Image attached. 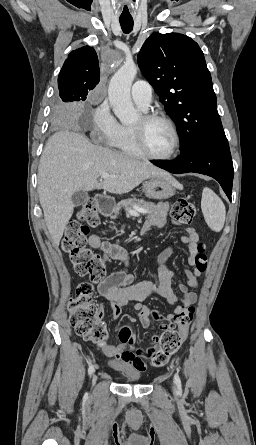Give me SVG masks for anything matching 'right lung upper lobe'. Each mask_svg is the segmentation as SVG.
Here are the masks:
<instances>
[{"label":"right lung upper lobe","instance_id":"cb5924a9","mask_svg":"<svg viewBox=\"0 0 256 445\" xmlns=\"http://www.w3.org/2000/svg\"><path fill=\"white\" fill-rule=\"evenodd\" d=\"M98 57L94 48L84 46L72 51L65 60L58 77L60 92H68L85 100L100 80Z\"/></svg>","mask_w":256,"mask_h":445}]
</instances>
